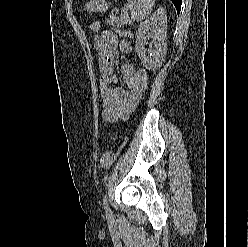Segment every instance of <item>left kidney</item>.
Wrapping results in <instances>:
<instances>
[{
	"instance_id": "5707ae66",
	"label": "left kidney",
	"mask_w": 248,
	"mask_h": 247,
	"mask_svg": "<svg viewBox=\"0 0 248 247\" xmlns=\"http://www.w3.org/2000/svg\"><path fill=\"white\" fill-rule=\"evenodd\" d=\"M150 33L147 35V33ZM167 16L164 8L160 7L153 15L142 22L136 32V52L142 65L148 70L161 67L167 51ZM154 39L155 50L152 56H147L146 40Z\"/></svg>"
}]
</instances>
